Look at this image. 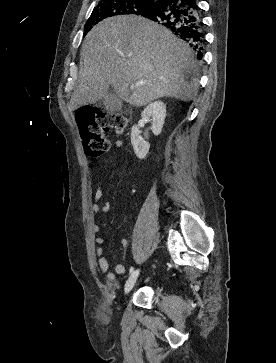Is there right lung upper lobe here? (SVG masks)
<instances>
[{
    "label": "right lung upper lobe",
    "mask_w": 276,
    "mask_h": 363,
    "mask_svg": "<svg viewBox=\"0 0 276 363\" xmlns=\"http://www.w3.org/2000/svg\"><path fill=\"white\" fill-rule=\"evenodd\" d=\"M154 3H156L158 0H152Z\"/></svg>",
    "instance_id": "right-lung-upper-lobe-1"
}]
</instances>
